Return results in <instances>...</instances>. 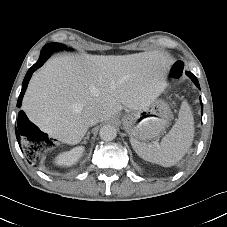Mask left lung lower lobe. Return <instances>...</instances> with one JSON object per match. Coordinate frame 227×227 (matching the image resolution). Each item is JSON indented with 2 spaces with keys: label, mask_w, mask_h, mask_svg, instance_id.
<instances>
[{
  "label": "left lung lower lobe",
  "mask_w": 227,
  "mask_h": 227,
  "mask_svg": "<svg viewBox=\"0 0 227 227\" xmlns=\"http://www.w3.org/2000/svg\"><path fill=\"white\" fill-rule=\"evenodd\" d=\"M195 85L198 87V88H200V86H199V82H195ZM201 106H202V110H201V113H202V111H203V104H202V101H201Z\"/></svg>",
  "instance_id": "obj_1"
}]
</instances>
